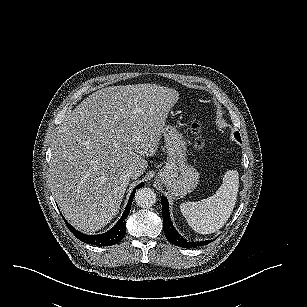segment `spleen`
Returning <instances> with one entry per match:
<instances>
[{"instance_id": "obj_1", "label": "spleen", "mask_w": 307, "mask_h": 307, "mask_svg": "<svg viewBox=\"0 0 307 307\" xmlns=\"http://www.w3.org/2000/svg\"><path fill=\"white\" fill-rule=\"evenodd\" d=\"M239 189V174L228 170L216 193L197 202L181 203L188 225L199 234H211L222 228L232 214Z\"/></svg>"}]
</instances>
